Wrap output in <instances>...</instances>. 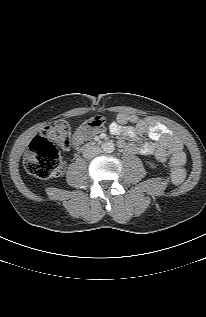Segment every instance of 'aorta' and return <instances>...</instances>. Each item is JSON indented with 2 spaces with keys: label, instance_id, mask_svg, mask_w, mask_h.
<instances>
[{
  "label": "aorta",
  "instance_id": "762f6f07",
  "mask_svg": "<svg viewBox=\"0 0 206 317\" xmlns=\"http://www.w3.org/2000/svg\"><path fill=\"white\" fill-rule=\"evenodd\" d=\"M102 150L105 153H112L115 150V146L114 143L111 141H107L105 143L102 144Z\"/></svg>",
  "mask_w": 206,
  "mask_h": 317
}]
</instances>
